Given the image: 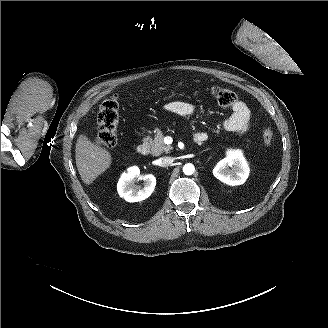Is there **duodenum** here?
Here are the masks:
<instances>
[{
	"mask_svg": "<svg viewBox=\"0 0 328 328\" xmlns=\"http://www.w3.org/2000/svg\"><path fill=\"white\" fill-rule=\"evenodd\" d=\"M194 142L195 143H202L206 140V135L203 134V133H197L195 136H194ZM149 151V146L146 142H142L138 145L137 147V152L141 155H146Z\"/></svg>",
	"mask_w": 328,
	"mask_h": 328,
	"instance_id": "duodenum-1",
	"label": "duodenum"
}]
</instances>
